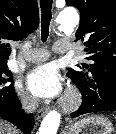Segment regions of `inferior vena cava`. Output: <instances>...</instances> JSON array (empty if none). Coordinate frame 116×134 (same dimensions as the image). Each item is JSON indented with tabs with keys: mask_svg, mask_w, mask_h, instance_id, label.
I'll list each match as a JSON object with an SVG mask.
<instances>
[{
	"mask_svg": "<svg viewBox=\"0 0 116 134\" xmlns=\"http://www.w3.org/2000/svg\"><path fill=\"white\" fill-rule=\"evenodd\" d=\"M37 106H38V101H37V99L33 98V99L27 101L23 107L26 112H34L36 110Z\"/></svg>",
	"mask_w": 116,
	"mask_h": 134,
	"instance_id": "1",
	"label": "inferior vena cava"
}]
</instances>
